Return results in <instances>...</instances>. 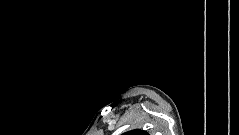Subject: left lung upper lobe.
I'll return each mask as SVG.
<instances>
[{
  "instance_id": "1",
  "label": "left lung upper lobe",
  "mask_w": 239,
  "mask_h": 135,
  "mask_svg": "<svg viewBox=\"0 0 239 135\" xmlns=\"http://www.w3.org/2000/svg\"><path fill=\"white\" fill-rule=\"evenodd\" d=\"M123 135H149L146 131L135 129L132 131H128L124 133Z\"/></svg>"
}]
</instances>
